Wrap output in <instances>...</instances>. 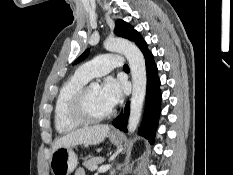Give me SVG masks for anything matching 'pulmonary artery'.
Wrapping results in <instances>:
<instances>
[{
	"mask_svg": "<svg viewBox=\"0 0 233 175\" xmlns=\"http://www.w3.org/2000/svg\"><path fill=\"white\" fill-rule=\"evenodd\" d=\"M123 64V56L117 54H103L82 64L78 67L76 74L90 80L94 77L103 76L113 69L122 68Z\"/></svg>",
	"mask_w": 233,
	"mask_h": 175,
	"instance_id": "e3ab8cb5",
	"label": "pulmonary artery"
}]
</instances>
